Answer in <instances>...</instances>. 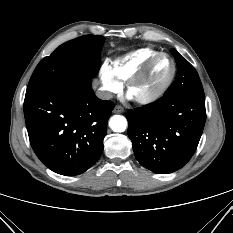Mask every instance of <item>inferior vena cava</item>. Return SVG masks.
Segmentation results:
<instances>
[{"label": "inferior vena cava", "instance_id": "1", "mask_svg": "<svg viewBox=\"0 0 233 233\" xmlns=\"http://www.w3.org/2000/svg\"><path fill=\"white\" fill-rule=\"evenodd\" d=\"M96 96L99 99H102V100H109V99L112 98V94L110 92H107V91H104V90H101V89H98L96 91Z\"/></svg>", "mask_w": 233, "mask_h": 233}]
</instances>
